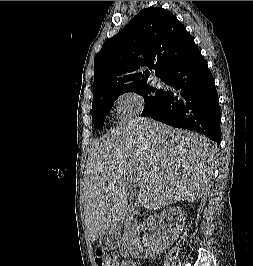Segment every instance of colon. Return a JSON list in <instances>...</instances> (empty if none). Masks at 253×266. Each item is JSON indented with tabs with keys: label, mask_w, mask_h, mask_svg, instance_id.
I'll use <instances>...</instances> for the list:
<instances>
[{
	"label": "colon",
	"mask_w": 253,
	"mask_h": 266,
	"mask_svg": "<svg viewBox=\"0 0 253 266\" xmlns=\"http://www.w3.org/2000/svg\"><path fill=\"white\" fill-rule=\"evenodd\" d=\"M95 263L96 266H118L117 258L107 254L101 249L96 251Z\"/></svg>",
	"instance_id": "1"
}]
</instances>
